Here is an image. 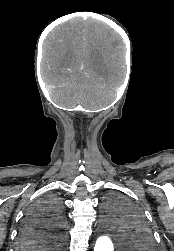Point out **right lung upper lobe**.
<instances>
[{"label":"right lung upper lobe","instance_id":"obj_1","mask_svg":"<svg viewBox=\"0 0 174 251\" xmlns=\"http://www.w3.org/2000/svg\"><path fill=\"white\" fill-rule=\"evenodd\" d=\"M47 247H48L47 241L46 240H42V243L39 246H33L31 248L44 250V248H47Z\"/></svg>","mask_w":174,"mask_h":251}]
</instances>
